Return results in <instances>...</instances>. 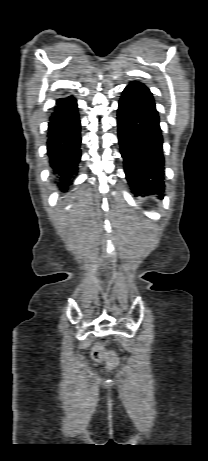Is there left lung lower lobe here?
I'll list each match as a JSON object with an SVG mask.
<instances>
[{
  "instance_id": "0a47b994",
  "label": "left lung lower lobe",
  "mask_w": 208,
  "mask_h": 461,
  "mask_svg": "<svg viewBox=\"0 0 208 461\" xmlns=\"http://www.w3.org/2000/svg\"><path fill=\"white\" fill-rule=\"evenodd\" d=\"M118 138L126 178L135 196L164 190V157L159 116L150 90L132 81L119 101Z\"/></svg>"
}]
</instances>
